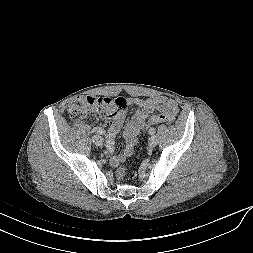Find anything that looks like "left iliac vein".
<instances>
[{"instance_id": "obj_1", "label": "left iliac vein", "mask_w": 253, "mask_h": 253, "mask_svg": "<svg viewBox=\"0 0 253 253\" xmlns=\"http://www.w3.org/2000/svg\"><path fill=\"white\" fill-rule=\"evenodd\" d=\"M148 145L153 148L157 145V139L155 136H151L148 140Z\"/></svg>"}]
</instances>
